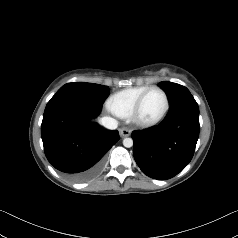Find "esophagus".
<instances>
[{
	"mask_svg": "<svg viewBox=\"0 0 238 238\" xmlns=\"http://www.w3.org/2000/svg\"><path fill=\"white\" fill-rule=\"evenodd\" d=\"M119 133L121 137H128L131 134V130L128 128H121Z\"/></svg>",
	"mask_w": 238,
	"mask_h": 238,
	"instance_id": "1",
	"label": "esophagus"
}]
</instances>
